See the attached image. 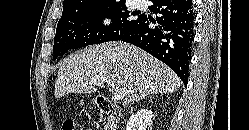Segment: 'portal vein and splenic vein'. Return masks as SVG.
I'll return each instance as SVG.
<instances>
[{"instance_id":"18ae733b","label":"portal vein and splenic vein","mask_w":249,"mask_h":130,"mask_svg":"<svg viewBox=\"0 0 249 130\" xmlns=\"http://www.w3.org/2000/svg\"><path fill=\"white\" fill-rule=\"evenodd\" d=\"M92 82L95 84H103L104 82L108 83L111 87L115 86V83L110 81V80H106V79H92ZM114 97L116 100H121L124 97V91L122 89H115L114 91Z\"/></svg>"}]
</instances>
